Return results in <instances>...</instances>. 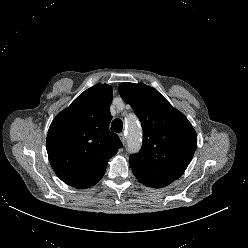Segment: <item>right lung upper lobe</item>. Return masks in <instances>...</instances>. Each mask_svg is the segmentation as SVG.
I'll use <instances>...</instances> for the list:
<instances>
[{
	"label": "right lung upper lobe",
	"instance_id": "right-lung-upper-lobe-1",
	"mask_svg": "<svg viewBox=\"0 0 248 248\" xmlns=\"http://www.w3.org/2000/svg\"><path fill=\"white\" fill-rule=\"evenodd\" d=\"M111 86L98 84L80 94L52 121L46 149L50 164L66 184L84 189L100 181L108 160L122 148L109 130Z\"/></svg>",
	"mask_w": 248,
	"mask_h": 248
}]
</instances>
